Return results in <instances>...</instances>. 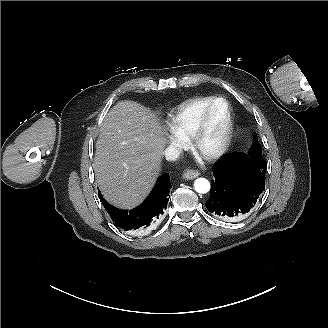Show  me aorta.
Masks as SVG:
<instances>
[{
  "instance_id": "aorta-1",
  "label": "aorta",
  "mask_w": 328,
  "mask_h": 328,
  "mask_svg": "<svg viewBox=\"0 0 328 328\" xmlns=\"http://www.w3.org/2000/svg\"><path fill=\"white\" fill-rule=\"evenodd\" d=\"M194 188L196 192L204 194L210 190V183L205 178H198L195 180Z\"/></svg>"
}]
</instances>
